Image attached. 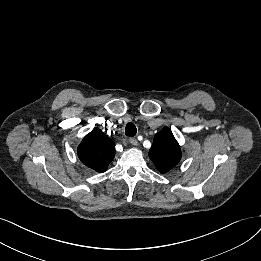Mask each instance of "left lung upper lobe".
I'll use <instances>...</instances> for the list:
<instances>
[{
    "mask_svg": "<svg viewBox=\"0 0 261 261\" xmlns=\"http://www.w3.org/2000/svg\"><path fill=\"white\" fill-rule=\"evenodd\" d=\"M149 157L163 174L170 171L180 161V146L168 127H164L155 135Z\"/></svg>",
    "mask_w": 261,
    "mask_h": 261,
    "instance_id": "left-lung-upper-lobe-1",
    "label": "left lung upper lobe"
}]
</instances>
